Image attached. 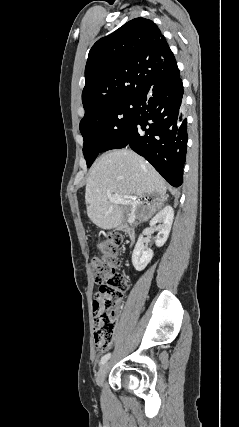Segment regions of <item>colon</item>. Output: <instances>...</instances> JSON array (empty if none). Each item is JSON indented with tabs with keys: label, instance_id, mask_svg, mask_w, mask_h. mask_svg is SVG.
Here are the masks:
<instances>
[{
	"label": "colon",
	"instance_id": "obj_1",
	"mask_svg": "<svg viewBox=\"0 0 239 427\" xmlns=\"http://www.w3.org/2000/svg\"><path fill=\"white\" fill-rule=\"evenodd\" d=\"M122 235L112 233L101 241L98 256L91 261L94 282L99 286L93 301V324L96 348L107 350L113 341L118 307L127 290V279L120 272Z\"/></svg>",
	"mask_w": 239,
	"mask_h": 427
}]
</instances>
